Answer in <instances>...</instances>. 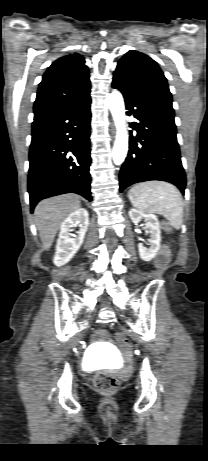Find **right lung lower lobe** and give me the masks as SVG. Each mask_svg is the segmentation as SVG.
Returning <instances> with one entry per match:
<instances>
[{
	"label": "right lung lower lobe",
	"mask_w": 208,
	"mask_h": 461,
	"mask_svg": "<svg viewBox=\"0 0 208 461\" xmlns=\"http://www.w3.org/2000/svg\"><path fill=\"white\" fill-rule=\"evenodd\" d=\"M91 98L35 118L29 151L31 212L42 199L77 193L91 201Z\"/></svg>",
	"instance_id": "right-lung-lower-lobe-1"
}]
</instances>
